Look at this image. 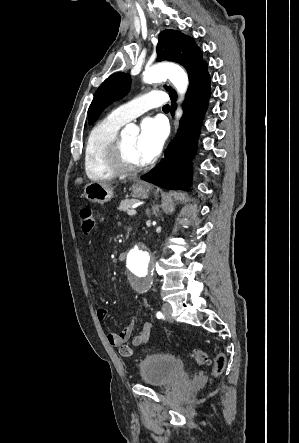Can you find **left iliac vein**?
I'll list each match as a JSON object with an SVG mask.
<instances>
[{
  "label": "left iliac vein",
  "mask_w": 299,
  "mask_h": 443,
  "mask_svg": "<svg viewBox=\"0 0 299 443\" xmlns=\"http://www.w3.org/2000/svg\"><path fill=\"white\" fill-rule=\"evenodd\" d=\"M162 311H163V313L165 315V318L168 321L172 322L173 321V317H172V307H171V305H169L167 303L163 304Z\"/></svg>",
  "instance_id": "obj_1"
}]
</instances>
